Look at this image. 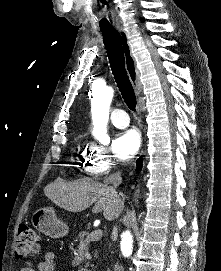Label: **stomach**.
I'll return each mask as SVG.
<instances>
[{"label":"stomach","instance_id":"obj_1","mask_svg":"<svg viewBox=\"0 0 221 271\" xmlns=\"http://www.w3.org/2000/svg\"><path fill=\"white\" fill-rule=\"evenodd\" d=\"M32 223L36 229L49 235V237H60L68 233V225L60 223L56 217V213L52 207H41L34 211L32 215Z\"/></svg>","mask_w":221,"mask_h":271}]
</instances>
